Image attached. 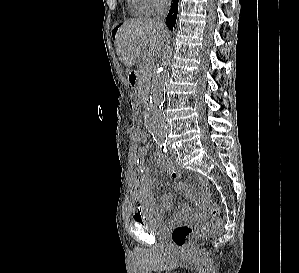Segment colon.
Returning a JSON list of instances; mask_svg holds the SVG:
<instances>
[{"instance_id": "colon-1", "label": "colon", "mask_w": 299, "mask_h": 273, "mask_svg": "<svg viewBox=\"0 0 299 273\" xmlns=\"http://www.w3.org/2000/svg\"><path fill=\"white\" fill-rule=\"evenodd\" d=\"M141 142L143 143V148H150L149 136L147 134L141 135ZM199 184L203 190L206 189V184L202 179H199ZM219 213V207L215 202L209 203V215L211 220L200 224H187L181 223L173 227L171 231V240L177 247H184L188 245L194 238L206 235L216 229L219 222L214 218Z\"/></svg>"}]
</instances>
